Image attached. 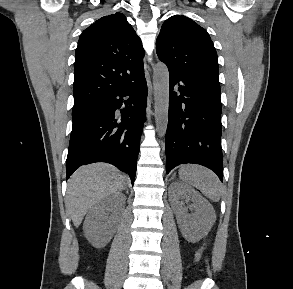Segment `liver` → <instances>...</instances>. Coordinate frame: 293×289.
Returning a JSON list of instances; mask_svg holds the SVG:
<instances>
[{"label":"liver","instance_id":"6515ba94","mask_svg":"<svg viewBox=\"0 0 293 289\" xmlns=\"http://www.w3.org/2000/svg\"><path fill=\"white\" fill-rule=\"evenodd\" d=\"M125 185L124 176L112 165L95 163L80 167L68 181L65 200L74 226L79 227L93 205Z\"/></svg>","mask_w":293,"mask_h":289}]
</instances>
